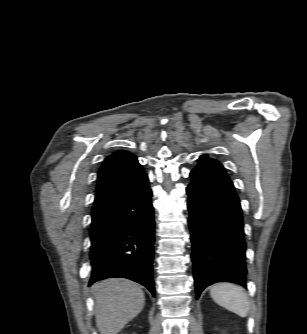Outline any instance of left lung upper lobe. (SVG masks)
Wrapping results in <instances>:
<instances>
[{"label": "left lung upper lobe", "mask_w": 307, "mask_h": 334, "mask_svg": "<svg viewBox=\"0 0 307 334\" xmlns=\"http://www.w3.org/2000/svg\"><path fill=\"white\" fill-rule=\"evenodd\" d=\"M201 158H208V156L207 155H203ZM208 159H210V158H208Z\"/></svg>", "instance_id": "left-lung-upper-lobe-1"}]
</instances>
